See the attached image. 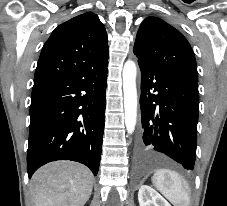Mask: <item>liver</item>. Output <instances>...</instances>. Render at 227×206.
I'll use <instances>...</instances> for the list:
<instances>
[{
    "label": "liver",
    "instance_id": "obj_1",
    "mask_svg": "<svg viewBox=\"0 0 227 206\" xmlns=\"http://www.w3.org/2000/svg\"><path fill=\"white\" fill-rule=\"evenodd\" d=\"M92 187L91 171L71 161L44 165L35 172L31 181L34 206H84Z\"/></svg>",
    "mask_w": 227,
    "mask_h": 206
}]
</instances>
